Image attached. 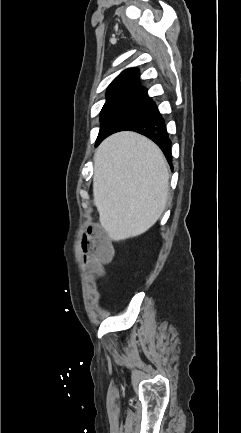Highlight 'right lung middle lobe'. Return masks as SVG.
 I'll return each instance as SVG.
<instances>
[{"label":"right lung middle lobe","mask_w":241,"mask_h":433,"mask_svg":"<svg viewBox=\"0 0 241 433\" xmlns=\"http://www.w3.org/2000/svg\"><path fill=\"white\" fill-rule=\"evenodd\" d=\"M152 103L148 96H122L107 99L101 110V127L96 146L107 136L123 130Z\"/></svg>","instance_id":"1"}]
</instances>
